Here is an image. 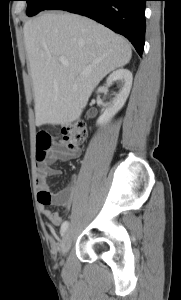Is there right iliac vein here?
<instances>
[{
    "label": "right iliac vein",
    "instance_id": "right-iliac-vein-1",
    "mask_svg": "<svg viewBox=\"0 0 181 300\" xmlns=\"http://www.w3.org/2000/svg\"><path fill=\"white\" fill-rule=\"evenodd\" d=\"M72 242H73L72 231L70 229H67L63 235L62 242H61V252L63 255H65L69 251Z\"/></svg>",
    "mask_w": 181,
    "mask_h": 300
}]
</instances>
